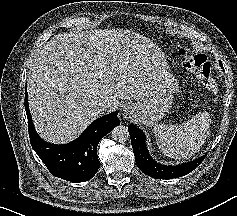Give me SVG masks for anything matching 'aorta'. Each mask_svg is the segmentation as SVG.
Instances as JSON below:
<instances>
[{
    "label": "aorta",
    "instance_id": "762f6f07",
    "mask_svg": "<svg viewBox=\"0 0 237 216\" xmlns=\"http://www.w3.org/2000/svg\"><path fill=\"white\" fill-rule=\"evenodd\" d=\"M111 135L113 140L120 143L127 141L130 136L128 128L124 125L114 127V129L111 131Z\"/></svg>",
    "mask_w": 237,
    "mask_h": 216
}]
</instances>
